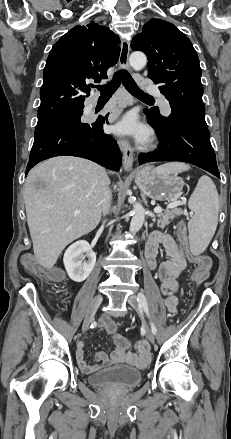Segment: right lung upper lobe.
<instances>
[{
    "mask_svg": "<svg viewBox=\"0 0 231 439\" xmlns=\"http://www.w3.org/2000/svg\"><path fill=\"white\" fill-rule=\"evenodd\" d=\"M117 36L105 26L90 22L75 26L52 47L43 71L38 119L83 109L88 79H107L120 49Z\"/></svg>",
    "mask_w": 231,
    "mask_h": 439,
    "instance_id": "right-lung-upper-lobe-1",
    "label": "right lung upper lobe"
}]
</instances>
